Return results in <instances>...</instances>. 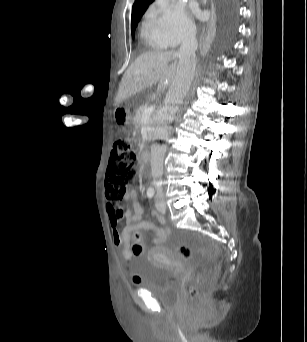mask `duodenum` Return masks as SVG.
Wrapping results in <instances>:
<instances>
[{"mask_svg":"<svg viewBox=\"0 0 307 342\" xmlns=\"http://www.w3.org/2000/svg\"><path fill=\"white\" fill-rule=\"evenodd\" d=\"M141 160L144 168H146L149 165V160H150V153L147 150H142L141 151Z\"/></svg>","mask_w":307,"mask_h":342,"instance_id":"1","label":"duodenum"}]
</instances>
